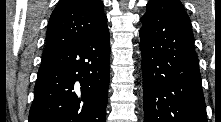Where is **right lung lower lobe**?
I'll use <instances>...</instances> for the list:
<instances>
[{
    "mask_svg": "<svg viewBox=\"0 0 221 122\" xmlns=\"http://www.w3.org/2000/svg\"><path fill=\"white\" fill-rule=\"evenodd\" d=\"M109 30L42 58L29 122H105Z\"/></svg>",
    "mask_w": 221,
    "mask_h": 122,
    "instance_id": "98d812e1",
    "label": "right lung lower lobe"
}]
</instances>
